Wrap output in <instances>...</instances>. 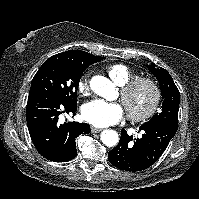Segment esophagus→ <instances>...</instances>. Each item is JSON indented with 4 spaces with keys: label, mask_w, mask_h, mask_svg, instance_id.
I'll list each match as a JSON object with an SVG mask.
<instances>
[{
    "label": "esophagus",
    "mask_w": 199,
    "mask_h": 199,
    "mask_svg": "<svg viewBox=\"0 0 199 199\" xmlns=\"http://www.w3.org/2000/svg\"><path fill=\"white\" fill-rule=\"evenodd\" d=\"M102 129L100 128H95V127H91V132L92 133H99Z\"/></svg>",
    "instance_id": "1"
}]
</instances>
